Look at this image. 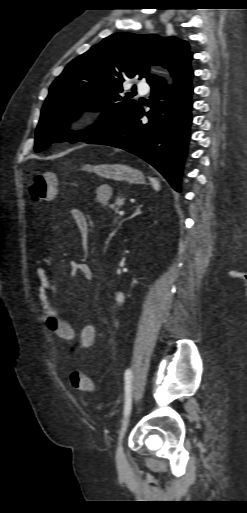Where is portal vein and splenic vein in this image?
Returning <instances> with one entry per match:
<instances>
[{"instance_id": "18ae733b", "label": "portal vein and splenic vein", "mask_w": 247, "mask_h": 513, "mask_svg": "<svg viewBox=\"0 0 247 513\" xmlns=\"http://www.w3.org/2000/svg\"><path fill=\"white\" fill-rule=\"evenodd\" d=\"M120 214L122 215V214H124V212H120Z\"/></svg>"}]
</instances>
